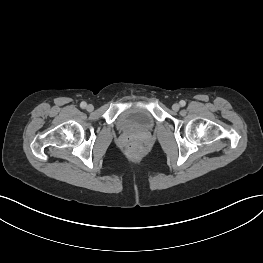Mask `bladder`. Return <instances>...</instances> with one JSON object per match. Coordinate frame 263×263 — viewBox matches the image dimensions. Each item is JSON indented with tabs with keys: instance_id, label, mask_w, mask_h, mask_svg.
<instances>
[{
	"instance_id": "obj_1",
	"label": "bladder",
	"mask_w": 263,
	"mask_h": 263,
	"mask_svg": "<svg viewBox=\"0 0 263 263\" xmlns=\"http://www.w3.org/2000/svg\"><path fill=\"white\" fill-rule=\"evenodd\" d=\"M123 131L147 132L154 128L156 120L147 106H131L123 110L117 119Z\"/></svg>"
}]
</instances>
